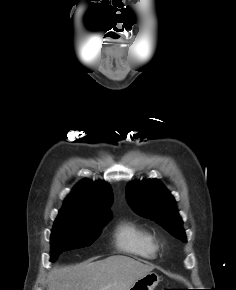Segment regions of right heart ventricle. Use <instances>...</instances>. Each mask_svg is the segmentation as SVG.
<instances>
[{
	"instance_id": "e07e8e85",
	"label": "right heart ventricle",
	"mask_w": 236,
	"mask_h": 290,
	"mask_svg": "<svg viewBox=\"0 0 236 290\" xmlns=\"http://www.w3.org/2000/svg\"><path fill=\"white\" fill-rule=\"evenodd\" d=\"M114 244L120 251L145 259L155 258L159 248L155 236L132 220H122L117 224Z\"/></svg>"
}]
</instances>
